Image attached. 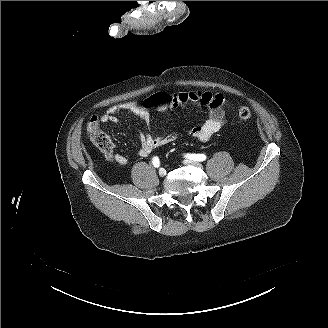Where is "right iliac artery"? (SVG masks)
<instances>
[{"label": "right iliac artery", "instance_id": "obj_1", "mask_svg": "<svg viewBox=\"0 0 328 328\" xmlns=\"http://www.w3.org/2000/svg\"><path fill=\"white\" fill-rule=\"evenodd\" d=\"M152 163L155 167H159L160 166V161H159V158L158 157H154L153 160H152Z\"/></svg>", "mask_w": 328, "mask_h": 328}]
</instances>
